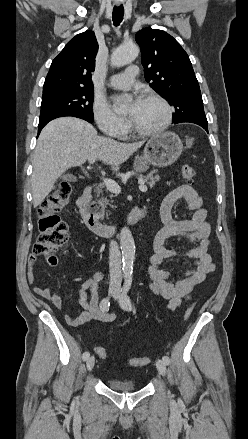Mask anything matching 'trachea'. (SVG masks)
<instances>
[{
	"label": "trachea",
	"mask_w": 248,
	"mask_h": 439,
	"mask_svg": "<svg viewBox=\"0 0 248 439\" xmlns=\"http://www.w3.org/2000/svg\"><path fill=\"white\" fill-rule=\"evenodd\" d=\"M124 8L123 6H115L113 8L112 20L115 26H119L123 20Z\"/></svg>",
	"instance_id": "1"
}]
</instances>
